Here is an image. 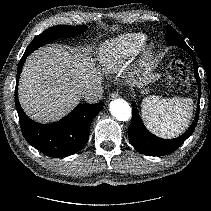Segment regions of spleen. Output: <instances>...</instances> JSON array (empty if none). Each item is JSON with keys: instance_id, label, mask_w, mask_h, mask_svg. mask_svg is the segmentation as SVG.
<instances>
[{"instance_id": "3e777b00", "label": "spleen", "mask_w": 211, "mask_h": 211, "mask_svg": "<svg viewBox=\"0 0 211 211\" xmlns=\"http://www.w3.org/2000/svg\"><path fill=\"white\" fill-rule=\"evenodd\" d=\"M193 101L190 98H159L150 96L141 104V113L147 128L154 134L172 138L189 125Z\"/></svg>"}]
</instances>
